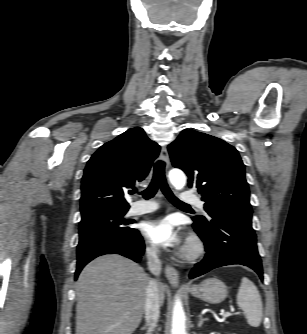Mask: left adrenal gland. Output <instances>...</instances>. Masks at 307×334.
<instances>
[{
  "label": "left adrenal gland",
  "instance_id": "1",
  "mask_svg": "<svg viewBox=\"0 0 307 334\" xmlns=\"http://www.w3.org/2000/svg\"><path fill=\"white\" fill-rule=\"evenodd\" d=\"M199 323H198V327H202L204 321H207L208 319L207 318H203L202 315H199Z\"/></svg>",
  "mask_w": 307,
  "mask_h": 334
}]
</instances>
